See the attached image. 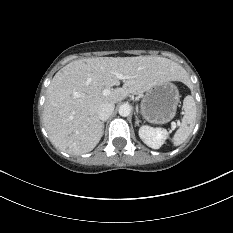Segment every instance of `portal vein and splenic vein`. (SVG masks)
Wrapping results in <instances>:
<instances>
[{"label":"portal vein and splenic vein","mask_w":233,"mask_h":233,"mask_svg":"<svg viewBox=\"0 0 233 233\" xmlns=\"http://www.w3.org/2000/svg\"><path fill=\"white\" fill-rule=\"evenodd\" d=\"M117 76V78L119 79V80H124L126 77L123 75V74H121V73H119V74H117L116 75ZM110 92H111V90L110 89H108V88H106V89H104L103 91H102V94L103 95H109L110 94ZM176 125H179V122H171V126L173 127V128H175L176 127Z\"/></svg>","instance_id":"1"}]
</instances>
